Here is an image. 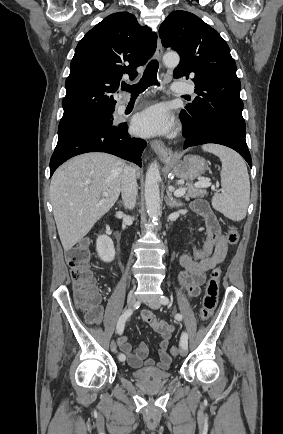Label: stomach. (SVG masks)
Listing matches in <instances>:
<instances>
[{
    "mask_svg": "<svg viewBox=\"0 0 283 434\" xmlns=\"http://www.w3.org/2000/svg\"><path fill=\"white\" fill-rule=\"evenodd\" d=\"M172 165L173 174L179 179L193 181L207 169L205 159L196 155L185 156L181 161H167Z\"/></svg>",
    "mask_w": 283,
    "mask_h": 434,
    "instance_id": "stomach-1",
    "label": "stomach"
}]
</instances>
